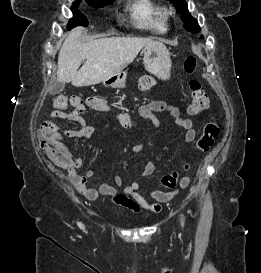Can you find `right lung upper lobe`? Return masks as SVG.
Returning <instances> with one entry per match:
<instances>
[{
    "label": "right lung upper lobe",
    "mask_w": 261,
    "mask_h": 273,
    "mask_svg": "<svg viewBox=\"0 0 261 273\" xmlns=\"http://www.w3.org/2000/svg\"><path fill=\"white\" fill-rule=\"evenodd\" d=\"M106 1H114V0H106Z\"/></svg>",
    "instance_id": "right-lung-upper-lobe-1"
}]
</instances>
